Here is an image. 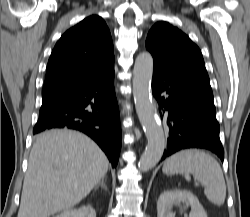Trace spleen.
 <instances>
[{"mask_svg":"<svg viewBox=\"0 0 250 217\" xmlns=\"http://www.w3.org/2000/svg\"><path fill=\"white\" fill-rule=\"evenodd\" d=\"M162 171L166 175L193 174L204 186L207 199L222 206L226 198V184L219 163L201 150L187 149L177 152L165 160Z\"/></svg>","mask_w":250,"mask_h":217,"instance_id":"1","label":"spleen"}]
</instances>
